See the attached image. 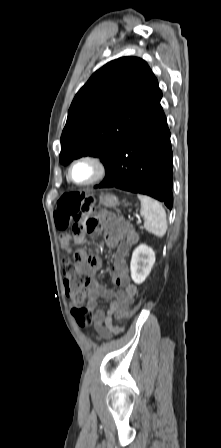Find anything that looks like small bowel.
Returning <instances> with one entry per match:
<instances>
[{"label":"small bowel","mask_w":221,"mask_h":448,"mask_svg":"<svg viewBox=\"0 0 221 448\" xmlns=\"http://www.w3.org/2000/svg\"><path fill=\"white\" fill-rule=\"evenodd\" d=\"M96 228L104 232L106 245L116 248L114 256L113 280L121 288L114 292L94 278L95 272L101 267L102 261L97 256H89L84 250H74V244H80L83 237L63 233L60 236L61 246L77 260L78 266L91 278L87 287V308L94 312L93 324L97 337L105 339L121 332V328L113 325L114 320L125 318L130 304L135 300L137 288L129 282L125 258L133 244L138 241V234L127 224L119 222L108 211H99L95 215ZM99 298L112 299L108 311L96 310Z\"/></svg>","instance_id":"small-bowel-1"}]
</instances>
